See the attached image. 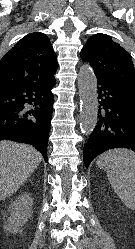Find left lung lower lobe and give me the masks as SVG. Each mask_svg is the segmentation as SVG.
<instances>
[{
  "label": "left lung lower lobe",
  "instance_id": "left-lung-lower-lobe-1",
  "mask_svg": "<svg viewBox=\"0 0 135 249\" xmlns=\"http://www.w3.org/2000/svg\"><path fill=\"white\" fill-rule=\"evenodd\" d=\"M97 124L84 145L88 167L101 153L124 147L135 152V89L97 79Z\"/></svg>",
  "mask_w": 135,
  "mask_h": 249
}]
</instances>
